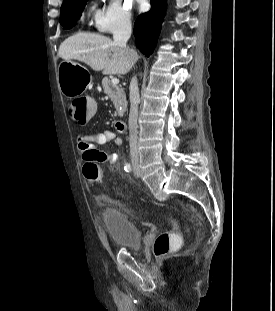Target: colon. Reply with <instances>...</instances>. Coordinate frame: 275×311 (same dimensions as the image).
<instances>
[{
  "label": "colon",
  "instance_id": "obj_1",
  "mask_svg": "<svg viewBox=\"0 0 275 311\" xmlns=\"http://www.w3.org/2000/svg\"><path fill=\"white\" fill-rule=\"evenodd\" d=\"M101 102V97H83L72 101L69 109L76 125H89L90 121H94L95 117H99L98 104H101ZM84 176L91 186H96L102 178L101 167L95 161L87 162L84 165ZM171 222L174 223L173 220ZM181 245L182 239L177 234L162 232L155 239L153 250L157 256H164L179 249Z\"/></svg>",
  "mask_w": 275,
  "mask_h": 311
}]
</instances>
